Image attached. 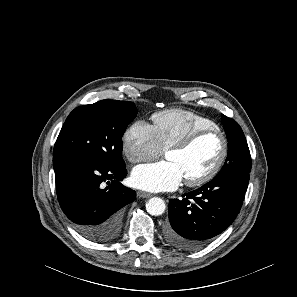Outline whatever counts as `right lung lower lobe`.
Returning a JSON list of instances; mask_svg holds the SVG:
<instances>
[{"label": "right lung lower lobe", "instance_id": "1", "mask_svg": "<svg viewBox=\"0 0 297 297\" xmlns=\"http://www.w3.org/2000/svg\"><path fill=\"white\" fill-rule=\"evenodd\" d=\"M53 167L60 207L77 232L98 243L114 240L120 233L122 208L136 198L134 190L120 183L126 166L64 155L53 157Z\"/></svg>", "mask_w": 297, "mask_h": 297}]
</instances>
